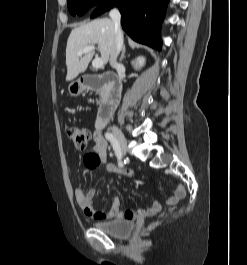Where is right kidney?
Listing matches in <instances>:
<instances>
[{
    "label": "right kidney",
    "instance_id": "ca27d5eb",
    "mask_svg": "<svg viewBox=\"0 0 247 265\" xmlns=\"http://www.w3.org/2000/svg\"><path fill=\"white\" fill-rule=\"evenodd\" d=\"M145 63V58L144 57H138L134 61H132V65L134 69L139 70Z\"/></svg>",
    "mask_w": 247,
    "mask_h": 265
}]
</instances>
